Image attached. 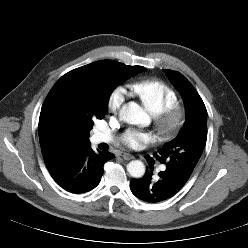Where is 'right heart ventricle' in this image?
<instances>
[{"label":"right heart ventricle","instance_id":"e07e8e85","mask_svg":"<svg viewBox=\"0 0 248 248\" xmlns=\"http://www.w3.org/2000/svg\"><path fill=\"white\" fill-rule=\"evenodd\" d=\"M130 90L153 115L160 114L178 102L177 92L161 80H140L132 83Z\"/></svg>","mask_w":248,"mask_h":248}]
</instances>
